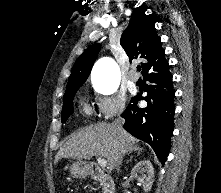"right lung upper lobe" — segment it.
I'll list each match as a JSON object with an SVG mask.
<instances>
[{"instance_id":"obj_1","label":"right lung upper lobe","mask_w":221,"mask_h":193,"mask_svg":"<svg viewBox=\"0 0 221 193\" xmlns=\"http://www.w3.org/2000/svg\"><path fill=\"white\" fill-rule=\"evenodd\" d=\"M120 44L130 61L133 59L143 61L141 63L143 76L168 65L151 15L135 13L121 36ZM99 50L100 44H93L77 58L68 80V88L82 85L86 81Z\"/></svg>"}]
</instances>
